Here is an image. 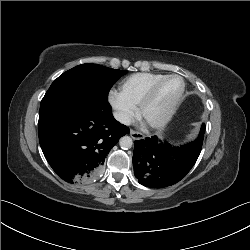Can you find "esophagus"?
I'll use <instances>...</instances> for the list:
<instances>
[{
    "instance_id": "1",
    "label": "esophagus",
    "mask_w": 250,
    "mask_h": 250,
    "mask_svg": "<svg viewBox=\"0 0 250 250\" xmlns=\"http://www.w3.org/2000/svg\"><path fill=\"white\" fill-rule=\"evenodd\" d=\"M130 136L134 139V140H140L143 138V135L139 132H136L134 130H130Z\"/></svg>"
}]
</instances>
